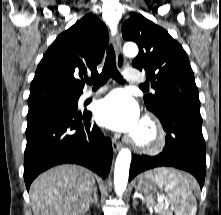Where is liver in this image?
<instances>
[{"label": "liver", "mask_w": 221, "mask_h": 215, "mask_svg": "<svg viewBox=\"0 0 221 215\" xmlns=\"http://www.w3.org/2000/svg\"><path fill=\"white\" fill-rule=\"evenodd\" d=\"M97 187L94 174L78 165H60L39 175L31 184L34 215H84Z\"/></svg>", "instance_id": "6515ba94"}]
</instances>
